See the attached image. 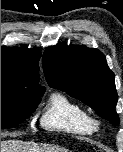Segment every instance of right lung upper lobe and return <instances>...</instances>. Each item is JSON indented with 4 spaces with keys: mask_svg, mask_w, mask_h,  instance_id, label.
<instances>
[{
    "mask_svg": "<svg viewBox=\"0 0 123 152\" xmlns=\"http://www.w3.org/2000/svg\"><path fill=\"white\" fill-rule=\"evenodd\" d=\"M40 57L38 50L1 47V79L16 82L21 88L44 91L39 85Z\"/></svg>",
    "mask_w": 123,
    "mask_h": 152,
    "instance_id": "cb5924a9",
    "label": "right lung upper lobe"
}]
</instances>
